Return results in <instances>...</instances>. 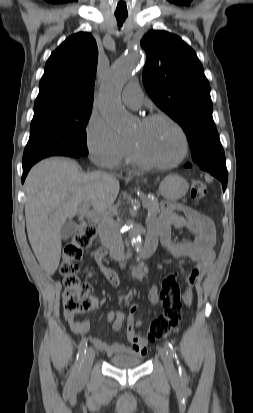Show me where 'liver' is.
Here are the masks:
<instances>
[{
	"label": "liver",
	"instance_id": "liver-1",
	"mask_svg": "<svg viewBox=\"0 0 253 413\" xmlns=\"http://www.w3.org/2000/svg\"><path fill=\"white\" fill-rule=\"evenodd\" d=\"M119 188L112 175L82 173L79 164L68 158L45 159L30 170L25 180L26 228L33 252L48 275L59 266L62 226L86 202L104 213L116 200Z\"/></svg>",
	"mask_w": 253,
	"mask_h": 413
}]
</instances>
